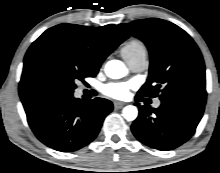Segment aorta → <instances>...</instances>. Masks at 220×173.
Here are the masks:
<instances>
[{
	"mask_svg": "<svg viewBox=\"0 0 220 173\" xmlns=\"http://www.w3.org/2000/svg\"><path fill=\"white\" fill-rule=\"evenodd\" d=\"M105 73L109 78L119 79L126 74L125 65L119 60H111L105 65ZM123 117L128 121H133L138 116V110L133 105H128L123 108Z\"/></svg>",
	"mask_w": 220,
	"mask_h": 173,
	"instance_id": "obj_1",
	"label": "aorta"
}]
</instances>
